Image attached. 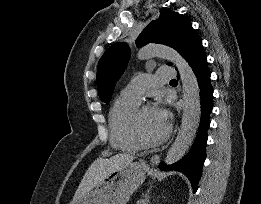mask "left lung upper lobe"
Segmentation results:
<instances>
[{
	"instance_id": "5c2ea615",
	"label": "left lung upper lobe",
	"mask_w": 261,
	"mask_h": 204,
	"mask_svg": "<svg viewBox=\"0 0 261 204\" xmlns=\"http://www.w3.org/2000/svg\"><path fill=\"white\" fill-rule=\"evenodd\" d=\"M196 34L188 17L165 10L160 13L158 19L144 28L136 39V46L139 48L150 42L165 44L183 56ZM129 57V47L125 43H115L99 60L96 82L101 101L109 103L111 100L116 81L126 69Z\"/></svg>"
}]
</instances>
